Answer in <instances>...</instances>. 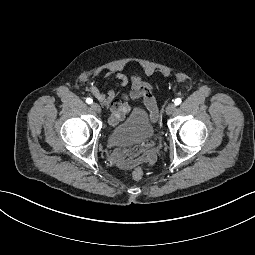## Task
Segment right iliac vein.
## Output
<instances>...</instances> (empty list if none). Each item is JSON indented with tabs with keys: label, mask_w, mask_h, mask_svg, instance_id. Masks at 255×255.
Masks as SVG:
<instances>
[{
	"label": "right iliac vein",
	"mask_w": 255,
	"mask_h": 255,
	"mask_svg": "<svg viewBox=\"0 0 255 255\" xmlns=\"http://www.w3.org/2000/svg\"><path fill=\"white\" fill-rule=\"evenodd\" d=\"M91 109L95 112V113H101V107L99 104L97 103H93L91 104Z\"/></svg>",
	"instance_id": "1"
}]
</instances>
